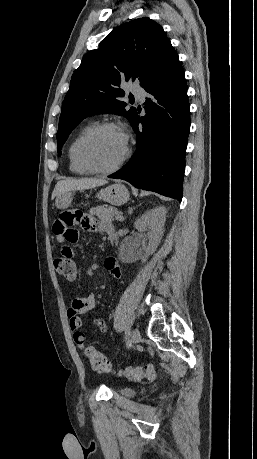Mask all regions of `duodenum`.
<instances>
[{"mask_svg":"<svg viewBox=\"0 0 257 459\" xmlns=\"http://www.w3.org/2000/svg\"><path fill=\"white\" fill-rule=\"evenodd\" d=\"M107 235L109 236L110 240H115L116 235L114 231H108Z\"/></svg>","mask_w":257,"mask_h":459,"instance_id":"410a0bca","label":"duodenum"}]
</instances>
